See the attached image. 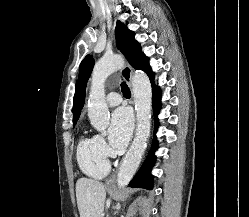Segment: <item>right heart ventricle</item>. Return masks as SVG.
Segmentation results:
<instances>
[{
  "instance_id": "e07e8e85",
  "label": "right heart ventricle",
  "mask_w": 249,
  "mask_h": 217,
  "mask_svg": "<svg viewBox=\"0 0 249 217\" xmlns=\"http://www.w3.org/2000/svg\"><path fill=\"white\" fill-rule=\"evenodd\" d=\"M77 162L82 172L95 179L104 178L109 172V163L99 151L95 136H82L77 145Z\"/></svg>"
}]
</instances>
